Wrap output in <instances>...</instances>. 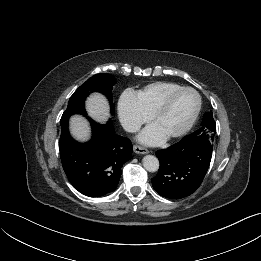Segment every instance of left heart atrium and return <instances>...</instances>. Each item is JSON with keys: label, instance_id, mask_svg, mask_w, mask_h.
<instances>
[{"label": "left heart atrium", "instance_id": "1", "mask_svg": "<svg viewBox=\"0 0 261 261\" xmlns=\"http://www.w3.org/2000/svg\"><path fill=\"white\" fill-rule=\"evenodd\" d=\"M138 139L148 145H157L165 139V135L153 124L143 130Z\"/></svg>", "mask_w": 261, "mask_h": 261}]
</instances>
